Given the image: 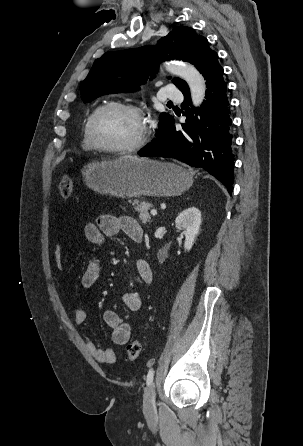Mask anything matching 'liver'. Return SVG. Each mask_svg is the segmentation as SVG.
Wrapping results in <instances>:
<instances>
[{
	"instance_id": "6515ba94",
	"label": "liver",
	"mask_w": 303,
	"mask_h": 446,
	"mask_svg": "<svg viewBox=\"0 0 303 446\" xmlns=\"http://www.w3.org/2000/svg\"><path fill=\"white\" fill-rule=\"evenodd\" d=\"M127 158H132V159H137V157H133V156H125Z\"/></svg>"
}]
</instances>
